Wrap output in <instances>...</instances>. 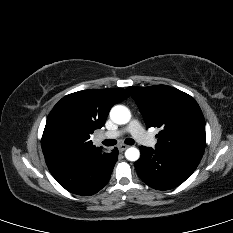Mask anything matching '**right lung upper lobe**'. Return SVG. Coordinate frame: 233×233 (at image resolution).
I'll return each instance as SVG.
<instances>
[{
	"instance_id": "right-lung-upper-lobe-1",
	"label": "right lung upper lobe",
	"mask_w": 233,
	"mask_h": 233,
	"mask_svg": "<svg viewBox=\"0 0 233 233\" xmlns=\"http://www.w3.org/2000/svg\"><path fill=\"white\" fill-rule=\"evenodd\" d=\"M122 88L89 89L63 97L51 110L42 136L45 158L61 155H87L99 151L90 135L100 129L116 103L125 100Z\"/></svg>"
}]
</instances>
